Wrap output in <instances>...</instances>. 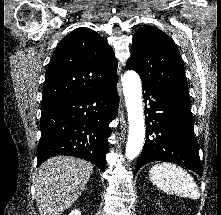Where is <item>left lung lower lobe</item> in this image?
Returning a JSON list of instances; mask_svg holds the SVG:
<instances>
[{
  "label": "left lung lower lobe",
  "mask_w": 221,
  "mask_h": 215,
  "mask_svg": "<svg viewBox=\"0 0 221 215\" xmlns=\"http://www.w3.org/2000/svg\"><path fill=\"white\" fill-rule=\"evenodd\" d=\"M146 106V141L135 173L145 164L166 161L183 165L202 176L199 147L194 135L189 100L180 99L142 83Z\"/></svg>",
  "instance_id": "left-lung-lower-lobe-1"
}]
</instances>
